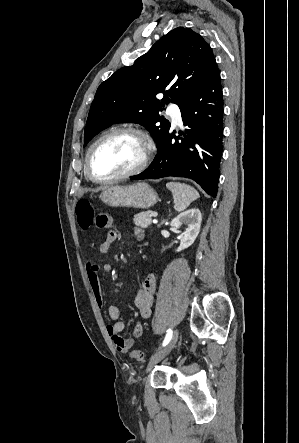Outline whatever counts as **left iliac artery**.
Returning <instances> with one entry per match:
<instances>
[{"label":"left iliac artery","mask_w":299,"mask_h":443,"mask_svg":"<svg viewBox=\"0 0 299 443\" xmlns=\"http://www.w3.org/2000/svg\"><path fill=\"white\" fill-rule=\"evenodd\" d=\"M172 335H173V332H172V330L169 328V329L167 330V334H166V336H165V339H164V341H163L162 346H166V345L168 344V342L170 341Z\"/></svg>","instance_id":"left-iliac-artery-1"}]
</instances>
